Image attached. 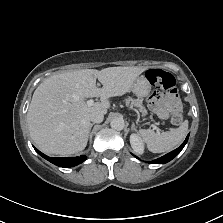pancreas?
I'll use <instances>...</instances> for the list:
<instances>
[{"label":"pancreas","instance_id":"obj_1","mask_svg":"<svg viewBox=\"0 0 223 223\" xmlns=\"http://www.w3.org/2000/svg\"><path fill=\"white\" fill-rule=\"evenodd\" d=\"M125 103H126V106L139 108V111L142 113L143 116L147 114V110L143 106V102H141L139 99H132L131 97H128L125 100Z\"/></svg>","mask_w":223,"mask_h":223}]
</instances>
